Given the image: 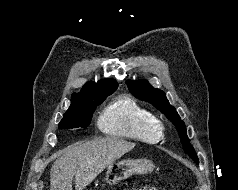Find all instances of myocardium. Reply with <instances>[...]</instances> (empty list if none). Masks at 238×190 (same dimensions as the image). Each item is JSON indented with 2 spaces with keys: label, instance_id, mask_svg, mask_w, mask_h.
<instances>
[{
  "label": "myocardium",
  "instance_id": "f54148a6",
  "mask_svg": "<svg viewBox=\"0 0 238 190\" xmlns=\"http://www.w3.org/2000/svg\"><path fill=\"white\" fill-rule=\"evenodd\" d=\"M156 125H157V129H158L159 131L164 128V125H163L162 123H160L159 121H157Z\"/></svg>",
  "mask_w": 238,
  "mask_h": 190
}]
</instances>
